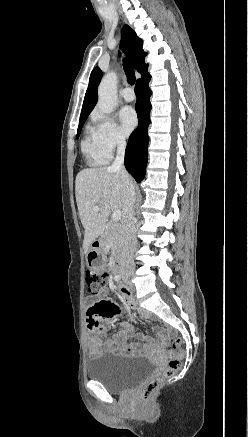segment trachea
I'll list each match as a JSON object with an SVG mask.
<instances>
[{
	"label": "trachea",
	"instance_id": "obj_1",
	"mask_svg": "<svg viewBox=\"0 0 248 437\" xmlns=\"http://www.w3.org/2000/svg\"><path fill=\"white\" fill-rule=\"evenodd\" d=\"M123 68L127 77V81L129 84L133 85L135 83L136 77H135V71L133 67L129 64L128 61L124 59Z\"/></svg>",
	"mask_w": 248,
	"mask_h": 437
}]
</instances>
